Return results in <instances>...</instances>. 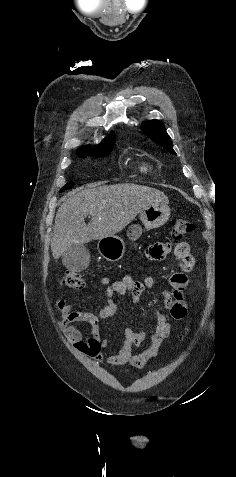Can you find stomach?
Returning <instances> with one entry per match:
<instances>
[{"mask_svg": "<svg viewBox=\"0 0 236 477\" xmlns=\"http://www.w3.org/2000/svg\"><path fill=\"white\" fill-rule=\"evenodd\" d=\"M170 208L167 204H153L140 212V220L146 229H154L164 225L170 216ZM127 237L132 240H138L143 229L138 224H132L128 227ZM99 253L108 261H118L125 253V243L118 236H108L98 242Z\"/></svg>", "mask_w": 236, "mask_h": 477, "instance_id": "1", "label": "stomach"}]
</instances>
